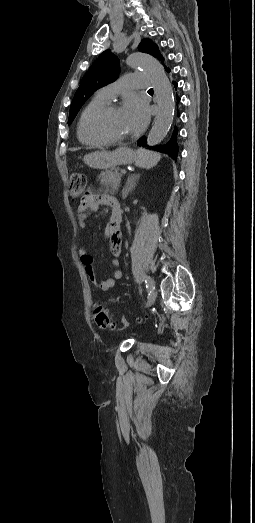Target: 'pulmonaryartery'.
Returning <instances> with one entry per match:
<instances>
[{
	"instance_id": "1",
	"label": "pulmonary artery",
	"mask_w": 255,
	"mask_h": 523,
	"mask_svg": "<svg viewBox=\"0 0 255 523\" xmlns=\"http://www.w3.org/2000/svg\"><path fill=\"white\" fill-rule=\"evenodd\" d=\"M122 78L124 80L120 83V89L116 84H111L102 87L99 92L109 99L114 98L119 92L121 95L127 96L132 90L135 92L146 91L151 80L150 75L142 71L130 72L128 75H122Z\"/></svg>"
}]
</instances>
